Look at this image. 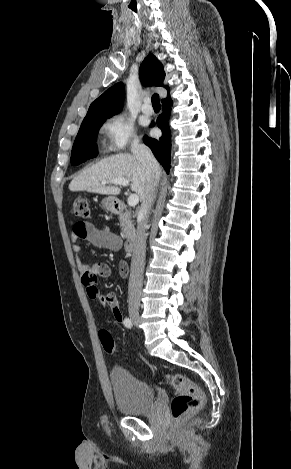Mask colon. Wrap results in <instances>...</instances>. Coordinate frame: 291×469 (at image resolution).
<instances>
[{"instance_id":"5ec220e1","label":"colon","mask_w":291,"mask_h":469,"mask_svg":"<svg viewBox=\"0 0 291 469\" xmlns=\"http://www.w3.org/2000/svg\"><path fill=\"white\" fill-rule=\"evenodd\" d=\"M72 214L79 218H86L89 215L88 201L85 198H76L72 204ZM120 273L127 274V265L120 264ZM97 308H103L105 301L103 299H94ZM99 339L104 351L107 354L115 355L117 347L112 335L107 330L99 331ZM168 385L175 391V396L170 404L171 415L179 420L187 413L197 410L204 404V394L200 387L180 373H174L167 376Z\"/></svg>"}]
</instances>
